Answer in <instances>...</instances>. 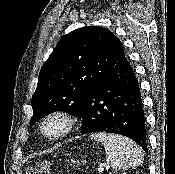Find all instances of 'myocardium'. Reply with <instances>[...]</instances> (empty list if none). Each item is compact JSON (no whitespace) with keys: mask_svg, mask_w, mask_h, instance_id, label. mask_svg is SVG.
Listing matches in <instances>:
<instances>
[{"mask_svg":"<svg viewBox=\"0 0 175 174\" xmlns=\"http://www.w3.org/2000/svg\"><path fill=\"white\" fill-rule=\"evenodd\" d=\"M60 120L62 123L61 129L55 134H49L46 132V125L51 120ZM76 124L75 116L66 110H53L46 114L40 124V131L44 137L49 140H59L67 136L72 132Z\"/></svg>","mask_w":175,"mask_h":174,"instance_id":"f54148a6","label":"myocardium"}]
</instances>
